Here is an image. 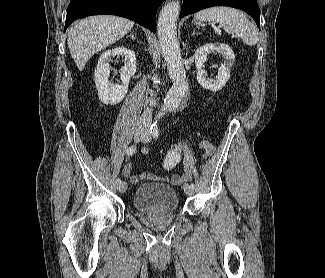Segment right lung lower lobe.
<instances>
[{"mask_svg":"<svg viewBox=\"0 0 325 278\" xmlns=\"http://www.w3.org/2000/svg\"><path fill=\"white\" fill-rule=\"evenodd\" d=\"M164 0H71L64 32L76 19L92 15L112 14L133 20L156 31V12Z\"/></svg>","mask_w":325,"mask_h":278,"instance_id":"right-lung-lower-lobe-1","label":"right lung lower lobe"}]
</instances>
